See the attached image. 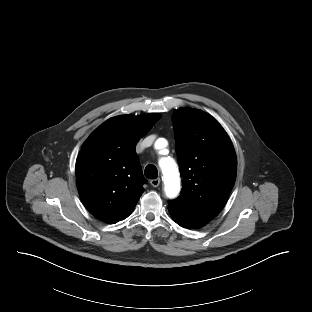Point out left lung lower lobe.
Instances as JSON below:
<instances>
[{
    "instance_id": "0a47b994",
    "label": "left lung lower lobe",
    "mask_w": 312,
    "mask_h": 312,
    "mask_svg": "<svg viewBox=\"0 0 312 312\" xmlns=\"http://www.w3.org/2000/svg\"><path fill=\"white\" fill-rule=\"evenodd\" d=\"M169 213H170L172 219L182 227L194 229V228H199V227H202L205 225V224H202L199 222L192 221V220L187 219L185 217H182V216L176 214L175 212H173L171 210H169Z\"/></svg>"
}]
</instances>
